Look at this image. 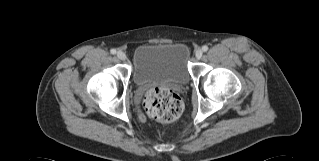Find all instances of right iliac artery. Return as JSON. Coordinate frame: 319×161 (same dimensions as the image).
Segmentation results:
<instances>
[{"label": "right iliac artery", "mask_w": 319, "mask_h": 161, "mask_svg": "<svg viewBox=\"0 0 319 161\" xmlns=\"http://www.w3.org/2000/svg\"><path fill=\"white\" fill-rule=\"evenodd\" d=\"M110 53H111V54H116V50H115V49H111V50H110Z\"/></svg>", "instance_id": "obj_1"}]
</instances>
